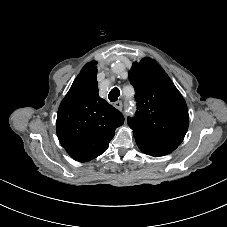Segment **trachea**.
Masks as SVG:
<instances>
[{
	"label": "trachea",
	"mask_w": 227,
	"mask_h": 227,
	"mask_svg": "<svg viewBox=\"0 0 227 227\" xmlns=\"http://www.w3.org/2000/svg\"><path fill=\"white\" fill-rule=\"evenodd\" d=\"M119 96H120V90L117 87L113 88L108 94V98L111 102L117 101Z\"/></svg>",
	"instance_id": "obj_1"
}]
</instances>
